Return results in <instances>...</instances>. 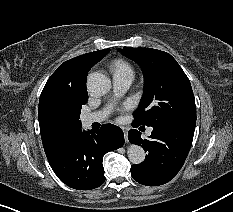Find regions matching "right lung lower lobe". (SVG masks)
I'll return each instance as SVG.
<instances>
[{
	"instance_id": "right-lung-lower-lobe-1",
	"label": "right lung lower lobe",
	"mask_w": 233,
	"mask_h": 212,
	"mask_svg": "<svg viewBox=\"0 0 233 212\" xmlns=\"http://www.w3.org/2000/svg\"><path fill=\"white\" fill-rule=\"evenodd\" d=\"M124 144L123 131L112 124H104L90 132L74 130L67 141L52 156L47 157L57 177L67 186L90 190L105 181L103 156Z\"/></svg>"
}]
</instances>
